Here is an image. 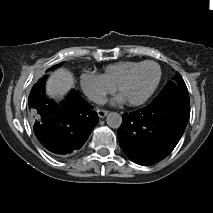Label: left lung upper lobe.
<instances>
[{
  "instance_id": "left-lung-upper-lobe-1",
  "label": "left lung upper lobe",
  "mask_w": 213,
  "mask_h": 213,
  "mask_svg": "<svg viewBox=\"0 0 213 213\" xmlns=\"http://www.w3.org/2000/svg\"><path fill=\"white\" fill-rule=\"evenodd\" d=\"M168 91H178L182 93H188V89L181 75L177 72L176 76L169 81L163 90L158 94V96L168 92Z\"/></svg>"
}]
</instances>
